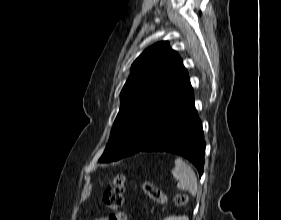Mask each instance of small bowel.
Wrapping results in <instances>:
<instances>
[{
	"mask_svg": "<svg viewBox=\"0 0 281 220\" xmlns=\"http://www.w3.org/2000/svg\"><path fill=\"white\" fill-rule=\"evenodd\" d=\"M95 220H108V218H105V217H100V218H97Z\"/></svg>",
	"mask_w": 281,
	"mask_h": 220,
	"instance_id": "small-bowel-1",
	"label": "small bowel"
}]
</instances>
